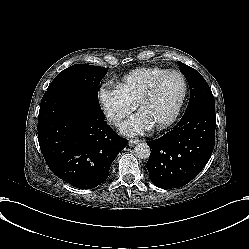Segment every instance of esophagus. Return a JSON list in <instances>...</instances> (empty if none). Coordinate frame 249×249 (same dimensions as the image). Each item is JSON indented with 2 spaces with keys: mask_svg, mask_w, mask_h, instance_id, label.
<instances>
[{
  "mask_svg": "<svg viewBox=\"0 0 249 249\" xmlns=\"http://www.w3.org/2000/svg\"><path fill=\"white\" fill-rule=\"evenodd\" d=\"M140 141L141 140H139V139H130L129 142H128V145L133 146V145L139 143Z\"/></svg>",
  "mask_w": 249,
  "mask_h": 249,
  "instance_id": "obj_1",
  "label": "esophagus"
}]
</instances>
